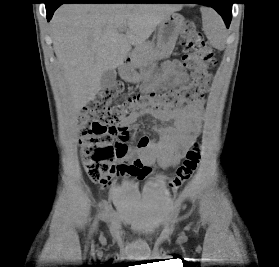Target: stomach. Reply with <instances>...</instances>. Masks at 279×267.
I'll use <instances>...</instances> for the list:
<instances>
[{"label": "stomach", "mask_w": 279, "mask_h": 267, "mask_svg": "<svg viewBox=\"0 0 279 267\" xmlns=\"http://www.w3.org/2000/svg\"><path fill=\"white\" fill-rule=\"evenodd\" d=\"M185 19L178 13L167 15L158 26L157 50L160 58L169 57L178 36L184 32ZM157 71L155 62H146L139 66V71L132 66L126 65L120 70L121 78L129 83H140L149 80Z\"/></svg>", "instance_id": "stomach-1"}]
</instances>
